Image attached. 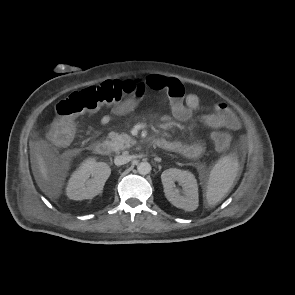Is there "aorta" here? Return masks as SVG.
Returning <instances> with one entry per match:
<instances>
[{
  "mask_svg": "<svg viewBox=\"0 0 295 295\" xmlns=\"http://www.w3.org/2000/svg\"><path fill=\"white\" fill-rule=\"evenodd\" d=\"M137 171L141 175H147L151 171V165L148 162H141L137 166Z\"/></svg>",
  "mask_w": 295,
  "mask_h": 295,
  "instance_id": "obj_1",
  "label": "aorta"
}]
</instances>
